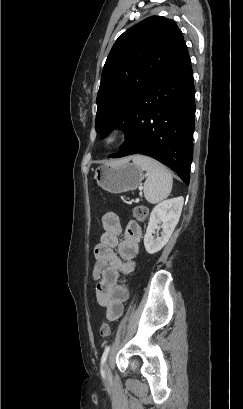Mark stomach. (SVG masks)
I'll return each mask as SVG.
<instances>
[{"mask_svg":"<svg viewBox=\"0 0 243 409\" xmlns=\"http://www.w3.org/2000/svg\"><path fill=\"white\" fill-rule=\"evenodd\" d=\"M94 179L104 190L118 194L137 189L143 180V170L124 159L97 167Z\"/></svg>","mask_w":243,"mask_h":409,"instance_id":"0dacf381","label":"stomach"}]
</instances>
